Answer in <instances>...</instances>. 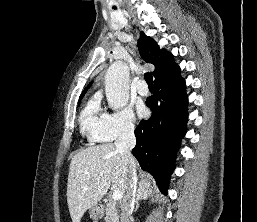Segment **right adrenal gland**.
Here are the masks:
<instances>
[{"label":"right adrenal gland","mask_w":257,"mask_h":222,"mask_svg":"<svg viewBox=\"0 0 257 222\" xmlns=\"http://www.w3.org/2000/svg\"><path fill=\"white\" fill-rule=\"evenodd\" d=\"M152 191L150 189H144L142 187H139L138 191H137V197H136V210L139 207V201L141 199H148L151 195Z\"/></svg>","instance_id":"right-adrenal-gland-1"}]
</instances>
